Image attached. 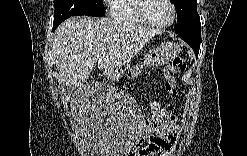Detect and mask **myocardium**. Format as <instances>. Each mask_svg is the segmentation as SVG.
Segmentation results:
<instances>
[{
	"instance_id": "f54148a6",
	"label": "myocardium",
	"mask_w": 247,
	"mask_h": 156,
	"mask_svg": "<svg viewBox=\"0 0 247 156\" xmlns=\"http://www.w3.org/2000/svg\"><path fill=\"white\" fill-rule=\"evenodd\" d=\"M164 1H166V3L169 5V7L171 9V18L169 21H167L165 23H157V22L152 21L150 18H148L147 14H146V3L148 1H146V0L138 1V12H139L141 18L143 19V21L145 22V24H147L148 26L153 27V28H167L174 23L175 18H176L175 6L170 0H164Z\"/></svg>"
}]
</instances>
